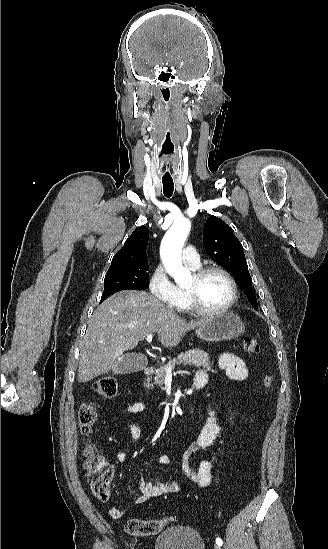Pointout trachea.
I'll use <instances>...</instances> for the list:
<instances>
[{
	"mask_svg": "<svg viewBox=\"0 0 328 549\" xmlns=\"http://www.w3.org/2000/svg\"><path fill=\"white\" fill-rule=\"evenodd\" d=\"M163 194L165 197H171L174 191V182L173 180H163Z\"/></svg>",
	"mask_w": 328,
	"mask_h": 549,
	"instance_id": "1",
	"label": "trachea"
}]
</instances>
